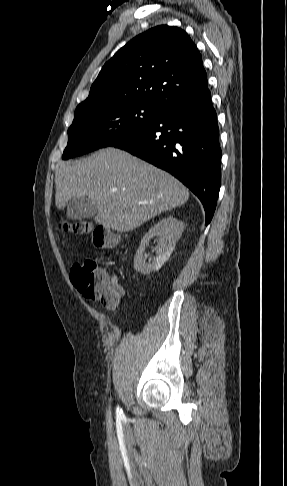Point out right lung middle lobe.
<instances>
[{
	"mask_svg": "<svg viewBox=\"0 0 287 486\" xmlns=\"http://www.w3.org/2000/svg\"><path fill=\"white\" fill-rule=\"evenodd\" d=\"M147 100H119L75 111L63 159L124 143L140 134L161 113Z\"/></svg>",
	"mask_w": 287,
	"mask_h": 486,
	"instance_id": "right-lung-middle-lobe-1",
	"label": "right lung middle lobe"
}]
</instances>
